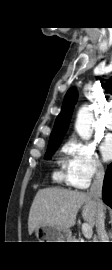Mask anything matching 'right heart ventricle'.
<instances>
[{
  "label": "right heart ventricle",
  "instance_id": "obj_1",
  "mask_svg": "<svg viewBox=\"0 0 112 270\" xmlns=\"http://www.w3.org/2000/svg\"><path fill=\"white\" fill-rule=\"evenodd\" d=\"M54 178H55L57 181H62V180L65 179V175H64L62 172H60V171H56V172L54 173Z\"/></svg>",
  "mask_w": 112,
  "mask_h": 270
}]
</instances>
